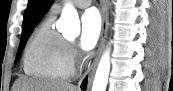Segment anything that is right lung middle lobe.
<instances>
[{"label":"right lung middle lobe","instance_id":"right-lung-middle-lobe-1","mask_svg":"<svg viewBox=\"0 0 173 91\" xmlns=\"http://www.w3.org/2000/svg\"><path fill=\"white\" fill-rule=\"evenodd\" d=\"M32 33L29 32V33H26L25 35H23L21 37V40H20V46H19V50H18V53H17V56H16V59H18L20 57V54H21V51L23 50L24 46H25V43L27 41V38L29 37V35Z\"/></svg>","mask_w":173,"mask_h":91}]
</instances>
